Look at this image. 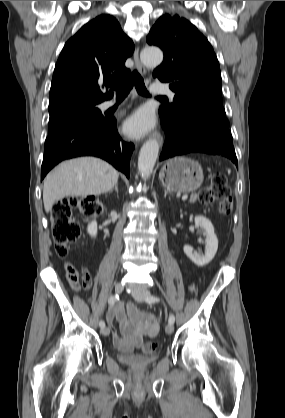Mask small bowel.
Returning <instances> with one entry per match:
<instances>
[{"label": "small bowel", "instance_id": "small-bowel-1", "mask_svg": "<svg viewBox=\"0 0 285 418\" xmlns=\"http://www.w3.org/2000/svg\"><path fill=\"white\" fill-rule=\"evenodd\" d=\"M66 278L73 287L82 284L84 287H90L91 275L85 267L82 272L78 268L69 264L66 268ZM190 292L194 291V285L188 287ZM109 322L117 320L121 324L125 338L118 335L116 331L112 333L113 344L118 350L129 351L140 348L142 338L155 337L160 330V317L141 312L134 304L126 305V314L122 305L118 304L108 312Z\"/></svg>", "mask_w": 285, "mask_h": 418}]
</instances>
